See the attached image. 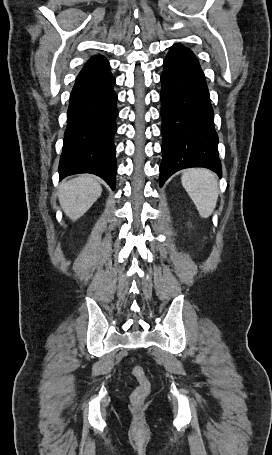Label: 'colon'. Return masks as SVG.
<instances>
[{
    "instance_id": "5ec220e1",
    "label": "colon",
    "mask_w": 272,
    "mask_h": 455,
    "mask_svg": "<svg viewBox=\"0 0 272 455\" xmlns=\"http://www.w3.org/2000/svg\"><path fill=\"white\" fill-rule=\"evenodd\" d=\"M132 375L137 380L138 385L131 395L134 405H140L150 392V383L143 367L136 365L132 369Z\"/></svg>"
}]
</instances>
